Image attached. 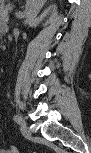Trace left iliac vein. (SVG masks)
<instances>
[{"instance_id":"1","label":"left iliac vein","mask_w":91,"mask_h":153,"mask_svg":"<svg viewBox=\"0 0 91 153\" xmlns=\"http://www.w3.org/2000/svg\"><path fill=\"white\" fill-rule=\"evenodd\" d=\"M25 125V126H24ZM20 130L21 133L23 134L24 137L26 138H31L32 133L31 131L28 129L27 125L25 124V122L23 121L22 123H20Z\"/></svg>"}]
</instances>
